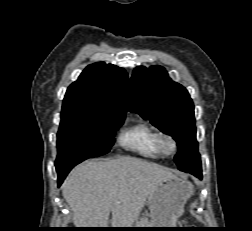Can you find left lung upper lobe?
Here are the masks:
<instances>
[{
    "mask_svg": "<svg viewBox=\"0 0 252 231\" xmlns=\"http://www.w3.org/2000/svg\"><path fill=\"white\" fill-rule=\"evenodd\" d=\"M128 106L176 140L179 151L175 162L179 170L201 167L193 102L188 91L172 81L163 67L134 69Z\"/></svg>",
    "mask_w": 252,
    "mask_h": 231,
    "instance_id": "obj_1",
    "label": "left lung upper lobe"
}]
</instances>
